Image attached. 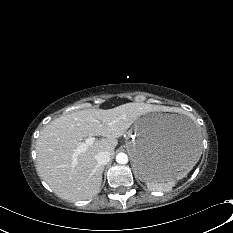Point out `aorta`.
Here are the masks:
<instances>
[{"label": "aorta", "instance_id": "obj_1", "mask_svg": "<svg viewBox=\"0 0 233 233\" xmlns=\"http://www.w3.org/2000/svg\"><path fill=\"white\" fill-rule=\"evenodd\" d=\"M116 162L119 164H127L128 163V156L127 154L120 152L116 155Z\"/></svg>", "mask_w": 233, "mask_h": 233}]
</instances>
